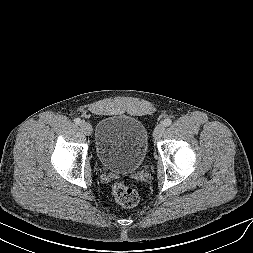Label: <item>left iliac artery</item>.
<instances>
[{"instance_id":"1","label":"left iliac artery","mask_w":253,"mask_h":253,"mask_svg":"<svg viewBox=\"0 0 253 253\" xmlns=\"http://www.w3.org/2000/svg\"><path fill=\"white\" fill-rule=\"evenodd\" d=\"M171 124H172V120L169 119V118H167V119H165V120L163 121V125H164V126H169V125H171Z\"/></svg>"}]
</instances>
